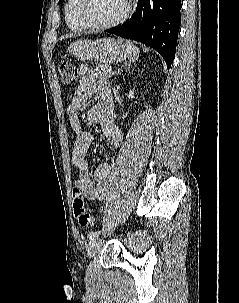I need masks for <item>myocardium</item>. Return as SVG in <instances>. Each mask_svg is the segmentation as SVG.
I'll return each instance as SVG.
<instances>
[{"mask_svg":"<svg viewBox=\"0 0 239 303\" xmlns=\"http://www.w3.org/2000/svg\"><path fill=\"white\" fill-rule=\"evenodd\" d=\"M87 2H88V0H77V5L75 8V11H76V15H77L79 21L85 27L91 28V29L102 30V29H108L111 27H115V26L121 24L122 22H124L133 10V0H127L126 8L119 17H117L116 19H114L112 21L106 22V23H95L86 16L85 7H86Z\"/></svg>","mask_w":239,"mask_h":303,"instance_id":"1","label":"myocardium"}]
</instances>
